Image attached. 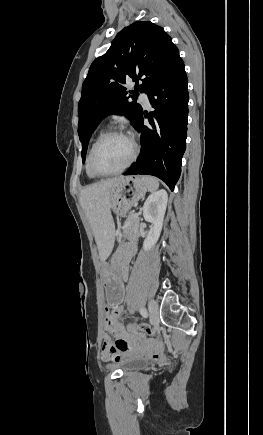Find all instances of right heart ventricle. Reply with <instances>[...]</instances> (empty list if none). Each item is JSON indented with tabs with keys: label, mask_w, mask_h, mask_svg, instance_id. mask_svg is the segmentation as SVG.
<instances>
[{
	"label": "right heart ventricle",
	"mask_w": 263,
	"mask_h": 435,
	"mask_svg": "<svg viewBox=\"0 0 263 435\" xmlns=\"http://www.w3.org/2000/svg\"><path fill=\"white\" fill-rule=\"evenodd\" d=\"M98 137H99V136H98ZM92 145H93V144H92ZM89 152H90V150H89ZM88 156H89V153H88L87 158H86V165H85L86 174L88 175V177L94 179V178H97V177H99V176H97L96 174H94V173L90 170V168H89V164H88Z\"/></svg>",
	"instance_id": "obj_1"
}]
</instances>
